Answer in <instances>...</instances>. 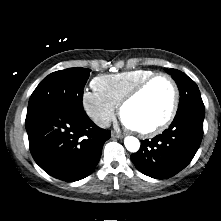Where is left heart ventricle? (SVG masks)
Wrapping results in <instances>:
<instances>
[{"label":"left heart ventricle","mask_w":221,"mask_h":221,"mask_svg":"<svg viewBox=\"0 0 221 221\" xmlns=\"http://www.w3.org/2000/svg\"><path fill=\"white\" fill-rule=\"evenodd\" d=\"M172 97L173 93L168 81L159 78L125 107L123 117L134 129L152 128L167 116Z\"/></svg>","instance_id":"b2bd125f"}]
</instances>
